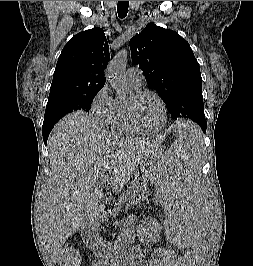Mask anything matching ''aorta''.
Here are the masks:
<instances>
[{
    "mask_svg": "<svg viewBox=\"0 0 253 266\" xmlns=\"http://www.w3.org/2000/svg\"><path fill=\"white\" fill-rule=\"evenodd\" d=\"M128 56V50H121L116 58L109 63L105 71L106 79L119 95L125 94L127 91L124 72Z\"/></svg>",
    "mask_w": 253,
    "mask_h": 266,
    "instance_id": "1",
    "label": "aorta"
}]
</instances>
